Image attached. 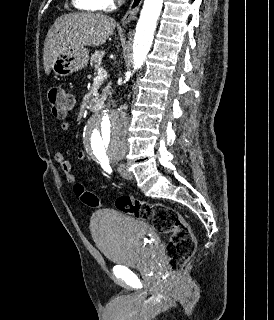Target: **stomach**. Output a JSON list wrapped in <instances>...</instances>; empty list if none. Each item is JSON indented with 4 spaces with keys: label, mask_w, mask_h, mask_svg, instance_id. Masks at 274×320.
<instances>
[{
    "label": "stomach",
    "mask_w": 274,
    "mask_h": 320,
    "mask_svg": "<svg viewBox=\"0 0 274 320\" xmlns=\"http://www.w3.org/2000/svg\"><path fill=\"white\" fill-rule=\"evenodd\" d=\"M89 52L87 48H68L66 52H61L52 64L55 76L65 78L73 72H79L88 66Z\"/></svg>",
    "instance_id": "0dacf381"
}]
</instances>
